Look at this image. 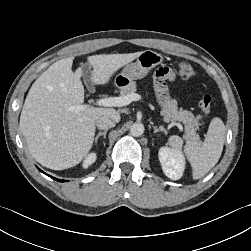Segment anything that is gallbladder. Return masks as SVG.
I'll return each instance as SVG.
<instances>
[{"label":"gallbladder","mask_w":251,"mask_h":251,"mask_svg":"<svg viewBox=\"0 0 251 251\" xmlns=\"http://www.w3.org/2000/svg\"><path fill=\"white\" fill-rule=\"evenodd\" d=\"M81 75L83 76V79L85 81V84L90 92L95 91V87L92 83V70L91 66L88 63H85L80 68Z\"/></svg>","instance_id":"obj_1"}]
</instances>
